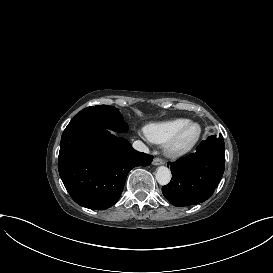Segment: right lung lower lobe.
Returning a JSON list of instances; mask_svg holds the SVG:
<instances>
[{
	"instance_id": "98d812e1",
	"label": "right lung lower lobe",
	"mask_w": 273,
	"mask_h": 273,
	"mask_svg": "<svg viewBox=\"0 0 273 273\" xmlns=\"http://www.w3.org/2000/svg\"><path fill=\"white\" fill-rule=\"evenodd\" d=\"M107 129L73 124L65 128L61 138L58 170L62 182L77 204L90 209L103 210L114 205L128 172L153 160Z\"/></svg>"
}]
</instances>
